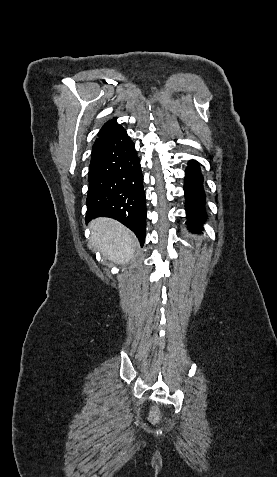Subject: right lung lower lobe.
Masks as SVG:
<instances>
[{
	"instance_id": "obj_1",
	"label": "right lung lower lobe",
	"mask_w": 277,
	"mask_h": 477,
	"mask_svg": "<svg viewBox=\"0 0 277 477\" xmlns=\"http://www.w3.org/2000/svg\"><path fill=\"white\" fill-rule=\"evenodd\" d=\"M88 222L110 217L145 241L146 204L140 159L124 128L93 147L88 173Z\"/></svg>"
}]
</instances>
